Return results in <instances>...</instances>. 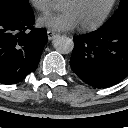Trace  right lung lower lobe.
I'll use <instances>...</instances> for the list:
<instances>
[{"mask_svg":"<svg viewBox=\"0 0 128 128\" xmlns=\"http://www.w3.org/2000/svg\"><path fill=\"white\" fill-rule=\"evenodd\" d=\"M33 24V12L0 15V83H18L38 66L47 33Z\"/></svg>","mask_w":128,"mask_h":128,"instance_id":"1","label":"right lung lower lobe"}]
</instances>
